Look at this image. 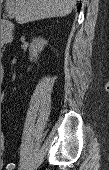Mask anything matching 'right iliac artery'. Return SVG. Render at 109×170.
<instances>
[{
  "instance_id": "right-iliac-artery-1",
  "label": "right iliac artery",
  "mask_w": 109,
  "mask_h": 170,
  "mask_svg": "<svg viewBox=\"0 0 109 170\" xmlns=\"http://www.w3.org/2000/svg\"><path fill=\"white\" fill-rule=\"evenodd\" d=\"M14 167H15V164L14 163H10V164L7 165L6 169L7 170H13Z\"/></svg>"
}]
</instances>
